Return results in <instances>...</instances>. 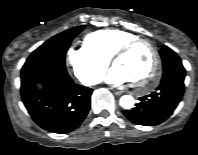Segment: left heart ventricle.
Wrapping results in <instances>:
<instances>
[{
  "label": "left heart ventricle",
  "mask_w": 198,
  "mask_h": 155,
  "mask_svg": "<svg viewBox=\"0 0 198 155\" xmlns=\"http://www.w3.org/2000/svg\"><path fill=\"white\" fill-rule=\"evenodd\" d=\"M115 66L121 68L132 82L143 81L152 69L153 55L146 44H138L127 54L116 59Z\"/></svg>",
  "instance_id": "obj_1"
}]
</instances>
